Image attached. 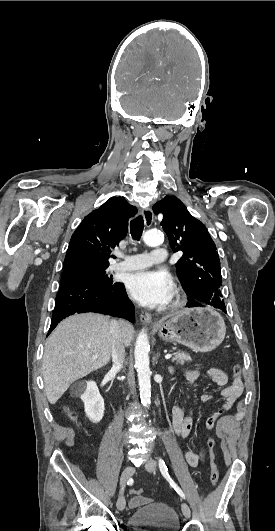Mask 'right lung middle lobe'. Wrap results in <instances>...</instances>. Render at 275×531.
I'll return each mask as SVG.
<instances>
[{"mask_svg":"<svg viewBox=\"0 0 275 531\" xmlns=\"http://www.w3.org/2000/svg\"><path fill=\"white\" fill-rule=\"evenodd\" d=\"M109 266H78L69 270L63 271L61 282L71 279H84L91 282L110 286L113 284L112 275L106 274V269Z\"/></svg>","mask_w":275,"mask_h":531,"instance_id":"dd1d6c3e","label":"right lung middle lobe"}]
</instances>
